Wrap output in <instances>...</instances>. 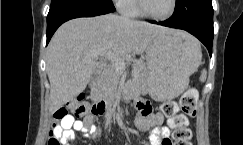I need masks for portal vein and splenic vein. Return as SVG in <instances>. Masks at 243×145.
Listing matches in <instances>:
<instances>
[{
    "label": "portal vein and splenic vein",
    "mask_w": 243,
    "mask_h": 145,
    "mask_svg": "<svg viewBox=\"0 0 243 145\" xmlns=\"http://www.w3.org/2000/svg\"><path fill=\"white\" fill-rule=\"evenodd\" d=\"M96 55L106 57L112 63H114L118 67V69H120L122 71L125 70L126 65H125L124 59H122L120 56H118L110 51H107L105 49L97 51Z\"/></svg>",
    "instance_id": "1"
}]
</instances>
